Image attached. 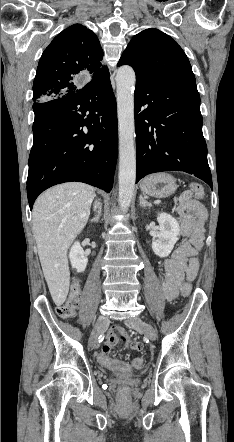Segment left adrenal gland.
I'll list each match as a JSON object with an SVG mask.
<instances>
[{"label": "left adrenal gland", "instance_id": "a2214340", "mask_svg": "<svg viewBox=\"0 0 234 442\" xmlns=\"http://www.w3.org/2000/svg\"><path fill=\"white\" fill-rule=\"evenodd\" d=\"M139 200H140V206L143 208H145V207L150 208L152 206V204L149 203L147 200H145L142 195L139 196Z\"/></svg>", "mask_w": 234, "mask_h": 442}]
</instances>
